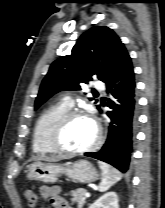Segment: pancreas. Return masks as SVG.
I'll use <instances>...</instances> for the list:
<instances>
[{
    "label": "pancreas",
    "instance_id": "1",
    "mask_svg": "<svg viewBox=\"0 0 165 208\" xmlns=\"http://www.w3.org/2000/svg\"><path fill=\"white\" fill-rule=\"evenodd\" d=\"M86 192H87L86 189H83V188L72 190L70 192V195L72 196L71 201L77 203L78 208H82V206L85 204V201H86L85 193Z\"/></svg>",
    "mask_w": 165,
    "mask_h": 208
}]
</instances>
